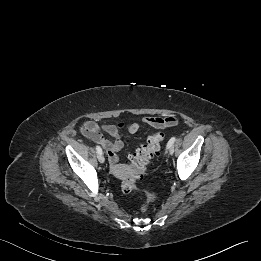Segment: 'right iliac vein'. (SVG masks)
Segmentation results:
<instances>
[{
	"instance_id": "obj_1",
	"label": "right iliac vein",
	"mask_w": 261,
	"mask_h": 261,
	"mask_svg": "<svg viewBox=\"0 0 261 261\" xmlns=\"http://www.w3.org/2000/svg\"><path fill=\"white\" fill-rule=\"evenodd\" d=\"M98 160H99L100 163L105 162V158H104L103 154H98Z\"/></svg>"
}]
</instances>
